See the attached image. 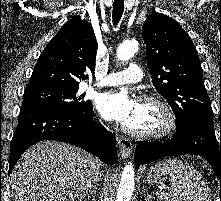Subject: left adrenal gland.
<instances>
[{"label": "left adrenal gland", "instance_id": "obj_1", "mask_svg": "<svg viewBox=\"0 0 221 201\" xmlns=\"http://www.w3.org/2000/svg\"><path fill=\"white\" fill-rule=\"evenodd\" d=\"M146 201H152V200H151V195H150V194H147V199H146Z\"/></svg>", "mask_w": 221, "mask_h": 201}]
</instances>
